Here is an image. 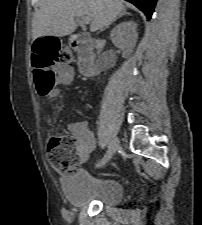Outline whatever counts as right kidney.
Instances as JSON below:
<instances>
[{"instance_id":"obj_1","label":"right kidney","mask_w":202,"mask_h":225,"mask_svg":"<svg viewBox=\"0 0 202 225\" xmlns=\"http://www.w3.org/2000/svg\"><path fill=\"white\" fill-rule=\"evenodd\" d=\"M110 38L113 44L123 51L124 57L129 56L137 43V24L134 21H124L118 24L111 31Z\"/></svg>"}]
</instances>
